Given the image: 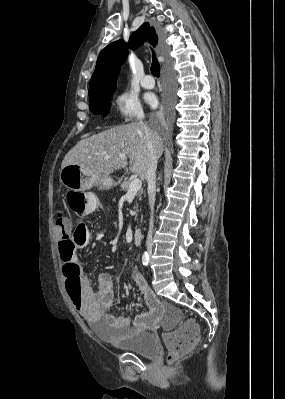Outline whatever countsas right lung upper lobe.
Returning a JSON list of instances; mask_svg holds the SVG:
<instances>
[{"mask_svg": "<svg viewBox=\"0 0 285 399\" xmlns=\"http://www.w3.org/2000/svg\"><path fill=\"white\" fill-rule=\"evenodd\" d=\"M146 39L156 46L158 36L149 23H144L134 32L126 44L123 40L115 41L106 46L99 54L95 71L91 77L89 87V98L114 92L120 67L128 54V48L136 49Z\"/></svg>", "mask_w": 285, "mask_h": 399, "instance_id": "right-lung-upper-lobe-1", "label": "right lung upper lobe"}]
</instances>
